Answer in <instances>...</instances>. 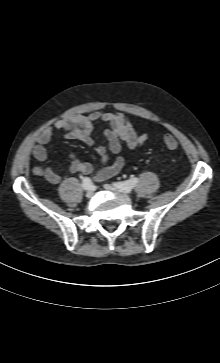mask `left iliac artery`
I'll use <instances>...</instances> for the list:
<instances>
[{
    "label": "left iliac artery",
    "mask_w": 220,
    "mask_h": 363,
    "mask_svg": "<svg viewBox=\"0 0 220 363\" xmlns=\"http://www.w3.org/2000/svg\"><path fill=\"white\" fill-rule=\"evenodd\" d=\"M138 183V178H132L124 182L116 183L115 186L126 192H130Z\"/></svg>",
    "instance_id": "obj_1"
}]
</instances>
